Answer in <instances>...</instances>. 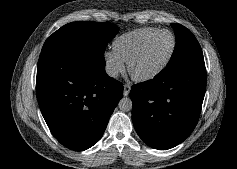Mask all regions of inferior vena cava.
I'll return each mask as SVG.
<instances>
[{
    "label": "inferior vena cava",
    "instance_id": "1",
    "mask_svg": "<svg viewBox=\"0 0 237 169\" xmlns=\"http://www.w3.org/2000/svg\"><path fill=\"white\" fill-rule=\"evenodd\" d=\"M105 71L108 76L113 77V78H117L119 75L118 69L111 65H106Z\"/></svg>",
    "mask_w": 237,
    "mask_h": 169
}]
</instances>
